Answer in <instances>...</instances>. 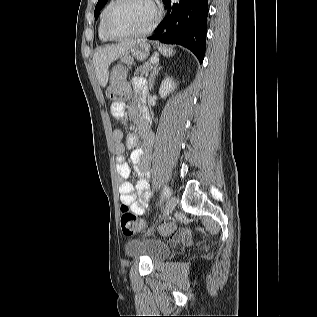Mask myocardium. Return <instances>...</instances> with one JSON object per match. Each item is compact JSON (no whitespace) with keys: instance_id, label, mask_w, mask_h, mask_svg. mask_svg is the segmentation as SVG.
I'll use <instances>...</instances> for the list:
<instances>
[{"instance_id":"obj_1","label":"myocardium","mask_w":317,"mask_h":317,"mask_svg":"<svg viewBox=\"0 0 317 317\" xmlns=\"http://www.w3.org/2000/svg\"><path fill=\"white\" fill-rule=\"evenodd\" d=\"M123 1L124 0H114L113 3L111 4V6L109 7V9L107 10L105 17H104V33H105V35L111 40H127V39L142 37V36H145V35L149 34L150 32H152L154 30V28L157 26V24L160 20V17H161V10H160L158 4L156 3V0H147V2L150 3V5L153 8L154 15H153L151 22L148 24V26L145 29H143L137 33L127 34V35H116L110 30V28H109L110 18L112 16L114 10L116 9V7Z\"/></svg>"}]
</instances>
